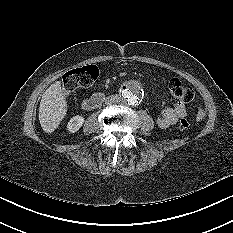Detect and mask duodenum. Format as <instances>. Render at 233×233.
<instances>
[{
  "mask_svg": "<svg viewBox=\"0 0 233 233\" xmlns=\"http://www.w3.org/2000/svg\"><path fill=\"white\" fill-rule=\"evenodd\" d=\"M104 99H105V96L103 93H95L89 98L85 99L82 102V106L86 110H92L98 107L99 105H101Z\"/></svg>",
  "mask_w": 233,
  "mask_h": 233,
  "instance_id": "410a0bca",
  "label": "duodenum"
}]
</instances>
